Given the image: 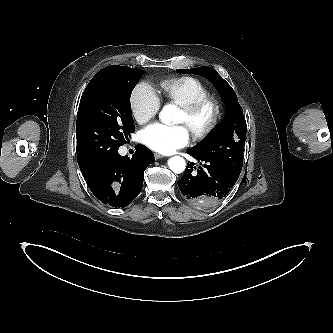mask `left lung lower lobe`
<instances>
[{
  "label": "left lung lower lobe",
  "mask_w": 333,
  "mask_h": 333,
  "mask_svg": "<svg viewBox=\"0 0 333 333\" xmlns=\"http://www.w3.org/2000/svg\"><path fill=\"white\" fill-rule=\"evenodd\" d=\"M187 153L198 162H202L200 163L202 167H199L196 173L194 163L187 165L183 177L178 181L183 198L201 208L216 206L231 191L238 176L212 160L200 156L192 149Z\"/></svg>",
  "instance_id": "0a47b994"
}]
</instances>
